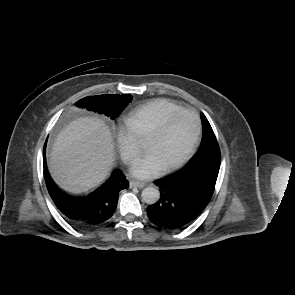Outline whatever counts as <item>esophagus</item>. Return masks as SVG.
<instances>
[{"label":"esophagus","mask_w":295,"mask_h":295,"mask_svg":"<svg viewBox=\"0 0 295 295\" xmlns=\"http://www.w3.org/2000/svg\"><path fill=\"white\" fill-rule=\"evenodd\" d=\"M145 186V183L143 182H138V181H131L130 182V187H137V188H143Z\"/></svg>","instance_id":"esophagus-1"}]
</instances>
